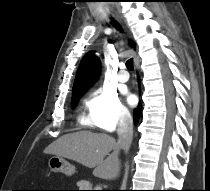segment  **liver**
I'll use <instances>...</instances> for the list:
<instances>
[{
	"mask_svg": "<svg viewBox=\"0 0 210 191\" xmlns=\"http://www.w3.org/2000/svg\"><path fill=\"white\" fill-rule=\"evenodd\" d=\"M44 152L94 168L93 174L106 180L119 175L120 148L116 140L107 134L86 130L69 133L50 144Z\"/></svg>",
	"mask_w": 210,
	"mask_h": 191,
	"instance_id": "obj_1",
	"label": "liver"
}]
</instances>
